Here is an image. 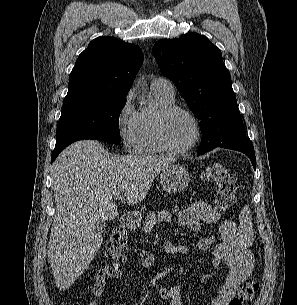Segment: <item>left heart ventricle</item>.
<instances>
[{"mask_svg":"<svg viewBox=\"0 0 297 305\" xmlns=\"http://www.w3.org/2000/svg\"><path fill=\"white\" fill-rule=\"evenodd\" d=\"M163 133L168 145L178 148L190 143L195 129L188 116L183 113H175L164 122Z\"/></svg>","mask_w":297,"mask_h":305,"instance_id":"1","label":"left heart ventricle"}]
</instances>
